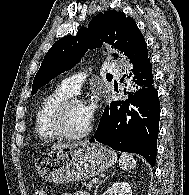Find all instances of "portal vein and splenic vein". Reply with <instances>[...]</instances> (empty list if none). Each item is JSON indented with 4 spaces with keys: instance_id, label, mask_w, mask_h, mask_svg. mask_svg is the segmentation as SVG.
Here are the masks:
<instances>
[{
    "instance_id": "1",
    "label": "portal vein and splenic vein",
    "mask_w": 189,
    "mask_h": 195,
    "mask_svg": "<svg viewBox=\"0 0 189 195\" xmlns=\"http://www.w3.org/2000/svg\"><path fill=\"white\" fill-rule=\"evenodd\" d=\"M92 183H93V184L98 183V179H93Z\"/></svg>"
}]
</instances>
